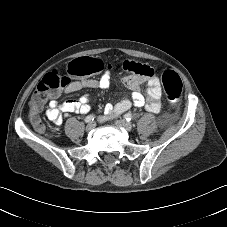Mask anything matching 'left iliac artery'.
I'll use <instances>...</instances> for the list:
<instances>
[{
	"mask_svg": "<svg viewBox=\"0 0 227 227\" xmlns=\"http://www.w3.org/2000/svg\"><path fill=\"white\" fill-rule=\"evenodd\" d=\"M124 118H125L126 121H131L133 119V116H132V114L127 113V114L124 115Z\"/></svg>",
	"mask_w": 227,
	"mask_h": 227,
	"instance_id": "obj_1",
	"label": "left iliac artery"
}]
</instances>
